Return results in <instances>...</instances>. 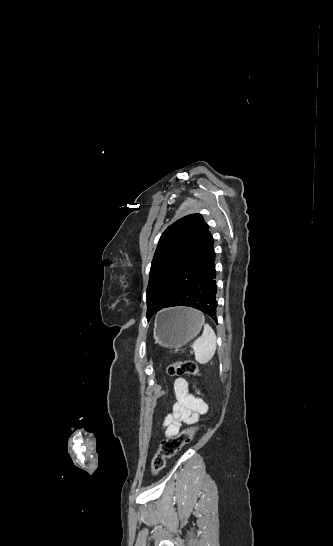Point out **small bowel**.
Returning a JSON list of instances; mask_svg holds the SVG:
<instances>
[{
	"label": "small bowel",
	"instance_id": "obj_1",
	"mask_svg": "<svg viewBox=\"0 0 333 546\" xmlns=\"http://www.w3.org/2000/svg\"><path fill=\"white\" fill-rule=\"evenodd\" d=\"M173 388L176 402L163 422L166 437L178 434L183 424L197 423L200 415L208 411L207 404L189 392L188 382L184 378H176Z\"/></svg>",
	"mask_w": 333,
	"mask_h": 546
}]
</instances>
